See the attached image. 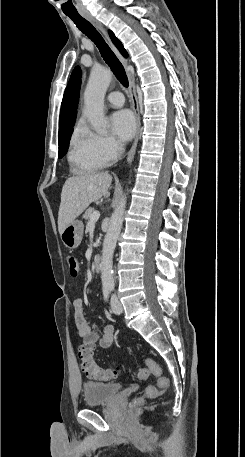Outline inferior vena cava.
I'll return each instance as SVG.
<instances>
[{
    "instance_id": "1",
    "label": "inferior vena cava",
    "mask_w": 245,
    "mask_h": 457,
    "mask_svg": "<svg viewBox=\"0 0 245 457\" xmlns=\"http://www.w3.org/2000/svg\"><path fill=\"white\" fill-rule=\"evenodd\" d=\"M118 148H119V150H124V148H123L122 144H120V142L118 144Z\"/></svg>"
}]
</instances>
